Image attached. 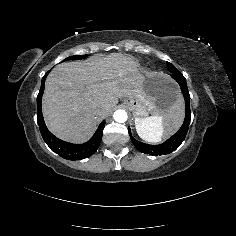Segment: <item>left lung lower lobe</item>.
<instances>
[{"mask_svg": "<svg viewBox=\"0 0 236 236\" xmlns=\"http://www.w3.org/2000/svg\"><path fill=\"white\" fill-rule=\"evenodd\" d=\"M167 66L169 71L171 72V77L179 83L182 94L185 99L186 116L181 128L164 143L159 145H148L133 138V136L131 135L130 128L128 127L130 138L135 147L140 152L149 154L151 156L166 155L177 149L186 137L191 119L190 95L187 88L186 80L184 79L182 73L178 71L171 63L167 62Z\"/></svg>", "mask_w": 236, "mask_h": 236, "instance_id": "0a47b994", "label": "left lung lower lobe"}]
</instances>
